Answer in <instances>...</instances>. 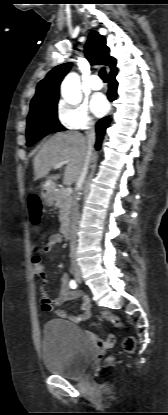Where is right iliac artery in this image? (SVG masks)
Instances as JSON below:
<instances>
[{
	"instance_id": "obj_1",
	"label": "right iliac artery",
	"mask_w": 168,
	"mask_h": 415,
	"mask_svg": "<svg viewBox=\"0 0 168 415\" xmlns=\"http://www.w3.org/2000/svg\"><path fill=\"white\" fill-rule=\"evenodd\" d=\"M70 287H71L72 289H76V288H77V283H76V281H75V280H71V281H70Z\"/></svg>"
}]
</instances>
